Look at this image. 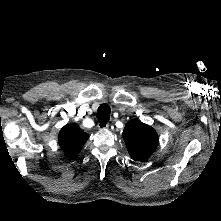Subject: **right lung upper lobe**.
<instances>
[{
	"mask_svg": "<svg viewBox=\"0 0 221 221\" xmlns=\"http://www.w3.org/2000/svg\"><path fill=\"white\" fill-rule=\"evenodd\" d=\"M88 134L75 123L64 126L59 133V145L69 157H75L83 148Z\"/></svg>",
	"mask_w": 221,
	"mask_h": 221,
	"instance_id": "obj_1",
	"label": "right lung upper lobe"
}]
</instances>
